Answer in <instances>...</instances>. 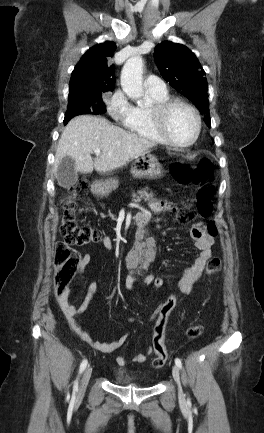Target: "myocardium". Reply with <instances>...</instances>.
<instances>
[{
  "mask_svg": "<svg viewBox=\"0 0 264 433\" xmlns=\"http://www.w3.org/2000/svg\"><path fill=\"white\" fill-rule=\"evenodd\" d=\"M187 108L194 116L196 123V130L193 137L186 143L176 142L169 134L168 131V117L173 109L176 107ZM150 114L155 125V128L163 141L176 148H188L194 145L200 137L202 129V120L198 110L190 103L182 99H168L167 101L161 103H155L150 108Z\"/></svg>",
  "mask_w": 264,
  "mask_h": 433,
  "instance_id": "obj_1",
  "label": "myocardium"
}]
</instances>
